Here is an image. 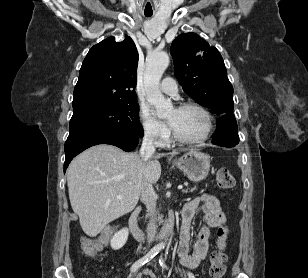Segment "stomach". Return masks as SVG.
Instances as JSON below:
<instances>
[{
  "label": "stomach",
  "instance_id": "1",
  "mask_svg": "<svg viewBox=\"0 0 308 278\" xmlns=\"http://www.w3.org/2000/svg\"><path fill=\"white\" fill-rule=\"evenodd\" d=\"M173 163L194 182L205 179L210 170L209 156L197 150L188 151Z\"/></svg>",
  "mask_w": 308,
  "mask_h": 278
}]
</instances>
